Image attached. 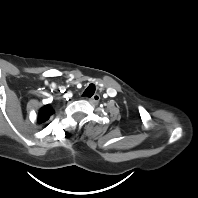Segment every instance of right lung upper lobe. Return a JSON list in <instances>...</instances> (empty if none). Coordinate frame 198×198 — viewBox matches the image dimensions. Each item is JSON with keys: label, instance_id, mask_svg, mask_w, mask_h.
Here are the masks:
<instances>
[{"label": "right lung upper lobe", "instance_id": "cb5924a9", "mask_svg": "<svg viewBox=\"0 0 198 198\" xmlns=\"http://www.w3.org/2000/svg\"><path fill=\"white\" fill-rule=\"evenodd\" d=\"M54 111L53 109L50 107V105H45L43 106L38 113V122L42 123L47 121L51 115H53Z\"/></svg>", "mask_w": 198, "mask_h": 198}]
</instances>
